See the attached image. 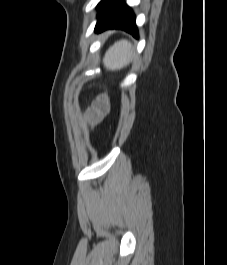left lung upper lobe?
I'll use <instances>...</instances> for the list:
<instances>
[{
    "label": "left lung upper lobe",
    "mask_w": 227,
    "mask_h": 265,
    "mask_svg": "<svg viewBox=\"0 0 227 265\" xmlns=\"http://www.w3.org/2000/svg\"><path fill=\"white\" fill-rule=\"evenodd\" d=\"M106 0H102L99 4H98V7H100L103 3H105Z\"/></svg>",
    "instance_id": "obj_1"
}]
</instances>
